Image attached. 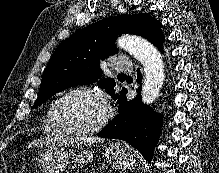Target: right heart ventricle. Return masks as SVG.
Returning <instances> with one entry per match:
<instances>
[{"label": "right heart ventricle", "mask_w": 219, "mask_h": 173, "mask_svg": "<svg viewBox=\"0 0 219 173\" xmlns=\"http://www.w3.org/2000/svg\"><path fill=\"white\" fill-rule=\"evenodd\" d=\"M57 99H54L48 105L44 116V132L52 136H62L64 133L59 129L54 120V106Z\"/></svg>", "instance_id": "e07e8e85"}]
</instances>
